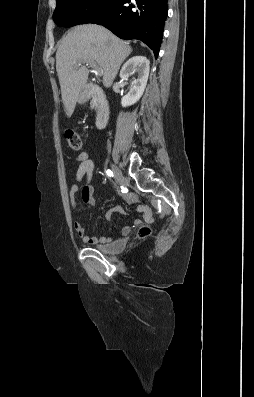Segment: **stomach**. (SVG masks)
I'll return each instance as SVG.
<instances>
[{
	"label": "stomach",
	"mask_w": 254,
	"mask_h": 397,
	"mask_svg": "<svg viewBox=\"0 0 254 397\" xmlns=\"http://www.w3.org/2000/svg\"><path fill=\"white\" fill-rule=\"evenodd\" d=\"M85 100H86V95H85L84 92H81L80 95H79L78 102L79 103H83V102H85Z\"/></svg>",
	"instance_id": "stomach-1"
}]
</instances>
